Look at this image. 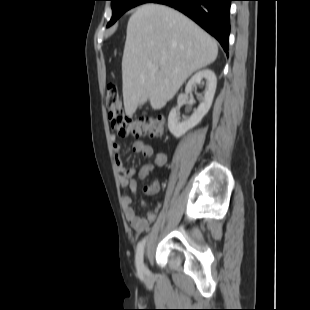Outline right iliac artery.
Wrapping results in <instances>:
<instances>
[{"mask_svg":"<svg viewBox=\"0 0 310 310\" xmlns=\"http://www.w3.org/2000/svg\"><path fill=\"white\" fill-rule=\"evenodd\" d=\"M146 238H144L137 246L136 255H135V263L137 267V271L140 276L143 275L144 264H143V253L145 246Z\"/></svg>","mask_w":310,"mask_h":310,"instance_id":"1","label":"right iliac artery"}]
</instances>
